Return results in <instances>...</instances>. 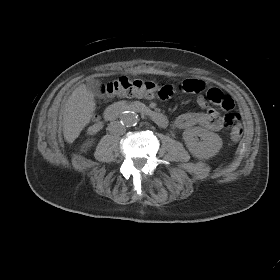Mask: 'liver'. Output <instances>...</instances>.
Returning <instances> with one entry per match:
<instances>
[{
    "mask_svg": "<svg viewBox=\"0 0 280 280\" xmlns=\"http://www.w3.org/2000/svg\"><path fill=\"white\" fill-rule=\"evenodd\" d=\"M95 106L94 94L84 84L68 97L63 110V134L68 143H72L90 122Z\"/></svg>",
    "mask_w": 280,
    "mask_h": 280,
    "instance_id": "liver-1",
    "label": "liver"
}]
</instances>
